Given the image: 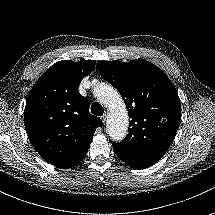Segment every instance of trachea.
<instances>
[{"label": "trachea", "instance_id": "trachea-1", "mask_svg": "<svg viewBox=\"0 0 215 215\" xmlns=\"http://www.w3.org/2000/svg\"><path fill=\"white\" fill-rule=\"evenodd\" d=\"M91 112H92V114H94V115L102 116L103 113H104V108H103L102 105L99 104L98 102H94V103L91 105Z\"/></svg>", "mask_w": 215, "mask_h": 215}]
</instances>
